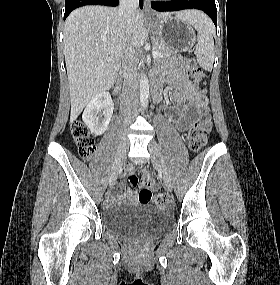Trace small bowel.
Segmentation results:
<instances>
[{"label": "small bowel", "instance_id": "small-bowel-1", "mask_svg": "<svg viewBox=\"0 0 280 285\" xmlns=\"http://www.w3.org/2000/svg\"><path fill=\"white\" fill-rule=\"evenodd\" d=\"M176 61L178 59L176 58ZM169 84L171 86V99L176 104H185V110L179 115V118L186 116L187 111L191 108H196L198 117L201 122L209 121L208 113V99L206 96L201 94L197 87L182 73L175 71L169 79ZM177 127L183 130L184 126L177 122ZM134 168L129 166L125 170V174H132ZM150 192L147 189L141 191L125 190L121 195H114L109 193L107 195V203L112 205L117 202L130 203V204H146L150 200Z\"/></svg>", "mask_w": 280, "mask_h": 285}]
</instances>
